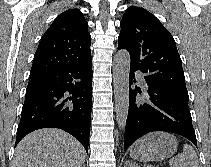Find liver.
Returning <instances> with one entry per match:
<instances>
[{
    "mask_svg": "<svg viewBox=\"0 0 211 167\" xmlns=\"http://www.w3.org/2000/svg\"><path fill=\"white\" fill-rule=\"evenodd\" d=\"M85 150L70 134L53 128L28 134L15 149L11 167H82Z\"/></svg>",
    "mask_w": 211,
    "mask_h": 167,
    "instance_id": "1",
    "label": "liver"
}]
</instances>
